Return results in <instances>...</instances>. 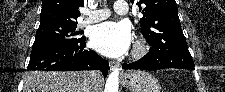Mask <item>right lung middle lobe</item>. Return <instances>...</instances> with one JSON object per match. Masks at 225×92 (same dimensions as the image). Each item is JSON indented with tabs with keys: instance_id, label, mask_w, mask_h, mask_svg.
Listing matches in <instances>:
<instances>
[{
	"instance_id": "obj_1",
	"label": "right lung middle lobe",
	"mask_w": 225,
	"mask_h": 92,
	"mask_svg": "<svg viewBox=\"0 0 225 92\" xmlns=\"http://www.w3.org/2000/svg\"><path fill=\"white\" fill-rule=\"evenodd\" d=\"M77 23L54 22L41 24L36 32V37L32 49L42 48L51 45L69 44L77 42L75 36Z\"/></svg>"
}]
</instances>
